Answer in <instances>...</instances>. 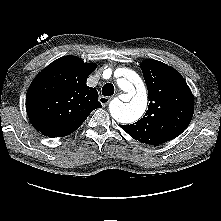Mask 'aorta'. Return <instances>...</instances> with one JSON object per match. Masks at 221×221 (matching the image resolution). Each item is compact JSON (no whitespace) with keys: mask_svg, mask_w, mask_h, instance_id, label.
<instances>
[{"mask_svg":"<svg viewBox=\"0 0 221 221\" xmlns=\"http://www.w3.org/2000/svg\"><path fill=\"white\" fill-rule=\"evenodd\" d=\"M117 85L127 93V103L113 100L109 106L112 117L121 123L138 120L147 107V94L141 78L132 70L122 69V77L117 78Z\"/></svg>","mask_w":221,"mask_h":221,"instance_id":"obj_1","label":"aorta"}]
</instances>
